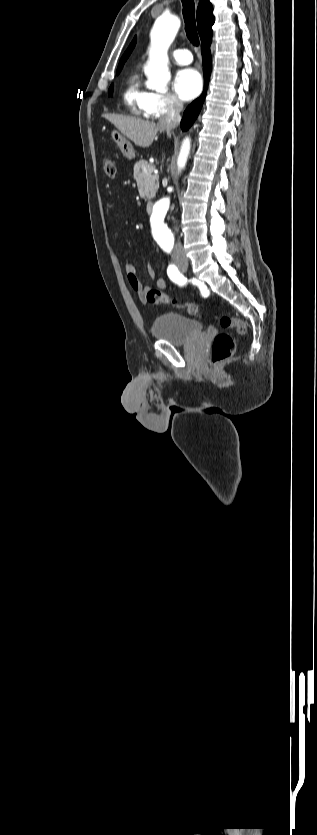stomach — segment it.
<instances>
[{"instance_id": "0dacf381", "label": "stomach", "mask_w": 317, "mask_h": 835, "mask_svg": "<svg viewBox=\"0 0 317 835\" xmlns=\"http://www.w3.org/2000/svg\"><path fill=\"white\" fill-rule=\"evenodd\" d=\"M110 135L111 139L113 140V142L117 144L125 158L129 160L135 158L136 155L132 144L124 137V135L118 129L111 130Z\"/></svg>"}]
</instances>
